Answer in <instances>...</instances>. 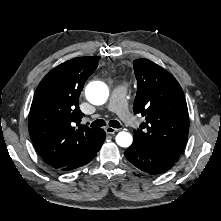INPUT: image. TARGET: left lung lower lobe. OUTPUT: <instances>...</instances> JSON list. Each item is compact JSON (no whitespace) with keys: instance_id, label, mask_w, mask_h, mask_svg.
<instances>
[{"instance_id":"0a47b994","label":"left lung lower lobe","mask_w":221,"mask_h":221,"mask_svg":"<svg viewBox=\"0 0 221 221\" xmlns=\"http://www.w3.org/2000/svg\"><path fill=\"white\" fill-rule=\"evenodd\" d=\"M127 160L139 170L151 175L168 171L175 164L174 161L133 139L132 145L124 152Z\"/></svg>"}]
</instances>
